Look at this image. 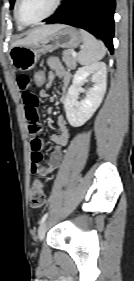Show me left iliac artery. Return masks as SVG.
<instances>
[{"mask_svg": "<svg viewBox=\"0 0 134 281\" xmlns=\"http://www.w3.org/2000/svg\"><path fill=\"white\" fill-rule=\"evenodd\" d=\"M47 216H48V213H45V214L43 215V217H42L41 220H40V224H42V223L46 220Z\"/></svg>", "mask_w": 134, "mask_h": 281, "instance_id": "1", "label": "left iliac artery"}]
</instances>
